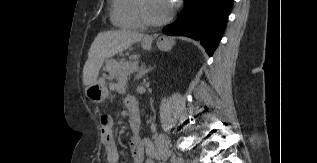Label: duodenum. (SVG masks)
Masks as SVG:
<instances>
[{
	"instance_id": "410a0bca",
	"label": "duodenum",
	"mask_w": 317,
	"mask_h": 163,
	"mask_svg": "<svg viewBox=\"0 0 317 163\" xmlns=\"http://www.w3.org/2000/svg\"><path fill=\"white\" fill-rule=\"evenodd\" d=\"M130 124H131L133 134L137 135L139 125H140V114L139 113H135V112L130 113Z\"/></svg>"
}]
</instances>
